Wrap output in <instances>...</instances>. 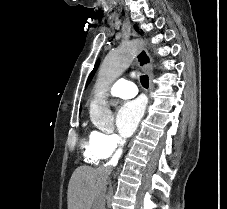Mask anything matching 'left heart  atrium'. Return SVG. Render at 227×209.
<instances>
[{
  "label": "left heart atrium",
  "instance_id": "obj_1",
  "mask_svg": "<svg viewBox=\"0 0 227 209\" xmlns=\"http://www.w3.org/2000/svg\"><path fill=\"white\" fill-rule=\"evenodd\" d=\"M144 110V103L139 99L124 101L120 105L117 124L119 132L124 137H129L135 132Z\"/></svg>",
  "mask_w": 227,
  "mask_h": 209
}]
</instances>
